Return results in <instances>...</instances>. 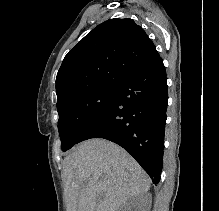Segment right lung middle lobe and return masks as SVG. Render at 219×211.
<instances>
[{"label":"right lung middle lobe","mask_w":219,"mask_h":211,"mask_svg":"<svg viewBox=\"0 0 219 211\" xmlns=\"http://www.w3.org/2000/svg\"><path fill=\"white\" fill-rule=\"evenodd\" d=\"M116 86H97L57 104L58 130L62 150L77 143L83 131L112 101Z\"/></svg>","instance_id":"1"}]
</instances>
